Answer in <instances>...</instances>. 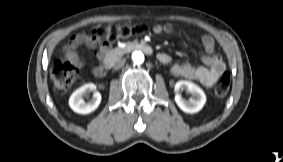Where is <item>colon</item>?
Wrapping results in <instances>:
<instances>
[{
  "instance_id": "colon-1",
  "label": "colon",
  "mask_w": 283,
  "mask_h": 162,
  "mask_svg": "<svg viewBox=\"0 0 283 162\" xmlns=\"http://www.w3.org/2000/svg\"><path fill=\"white\" fill-rule=\"evenodd\" d=\"M146 31L144 25H107L98 24L92 29V36L100 41L110 42L121 38H128ZM78 67L68 61H58L51 68V80L59 91L67 90L72 86L78 75ZM230 88V76L224 73L215 86L218 97L227 95Z\"/></svg>"
}]
</instances>
